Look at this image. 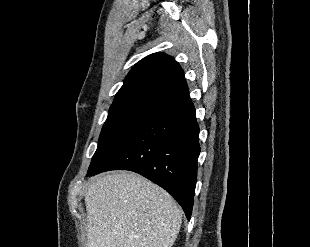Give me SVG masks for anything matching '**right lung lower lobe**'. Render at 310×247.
<instances>
[{
  "label": "right lung lower lobe",
  "mask_w": 310,
  "mask_h": 247,
  "mask_svg": "<svg viewBox=\"0 0 310 247\" xmlns=\"http://www.w3.org/2000/svg\"><path fill=\"white\" fill-rule=\"evenodd\" d=\"M199 153V127L188 97L149 119L87 176L109 170L139 173L168 191L190 220Z\"/></svg>",
  "instance_id": "right-lung-lower-lobe-1"
}]
</instances>
